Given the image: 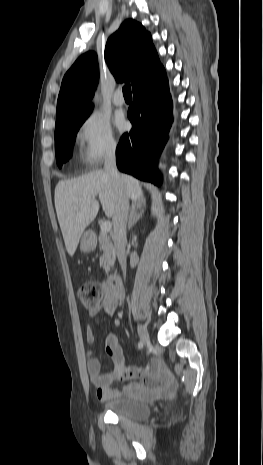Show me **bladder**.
I'll return each mask as SVG.
<instances>
[{
  "instance_id": "1",
  "label": "bladder",
  "mask_w": 263,
  "mask_h": 465,
  "mask_svg": "<svg viewBox=\"0 0 263 465\" xmlns=\"http://www.w3.org/2000/svg\"><path fill=\"white\" fill-rule=\"evenodd\" d=\"M102 407L119 417L135 421L145 420L151 415V408L147 403L129 397L107 400L102 403Z\"/></svg>"
}]
</instances>
